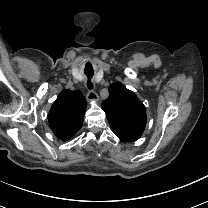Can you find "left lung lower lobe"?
<instances>
[{
  "mask_svg": "<svg viewBox=\"0 0 208 208\" xmlns=\"http://www.w3.org/2000/svg\"><path fill=\"white\" fill-rule=\"evenodd\" d=\"M120 139L127 141V142H133L140 138V134L136 133H129V132H123V131H113Z\"/></svg>",
  "mask_w": 208,
  "mask_h": 208,
  "instance_id": "obj_1",
  "label": "left lung lower lobe"
}]
</instances>
